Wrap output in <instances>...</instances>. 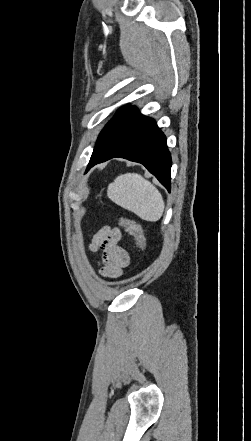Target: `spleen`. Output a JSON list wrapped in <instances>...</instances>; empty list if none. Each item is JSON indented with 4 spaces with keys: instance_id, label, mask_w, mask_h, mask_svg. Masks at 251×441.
<instances>
[{
    "instance_id": "1",
    "label": "spleen",
    "mask_w": 251,
    "mask_h": 441,
    "mask_svg": "<svg viewBox=\"0 0 251 441\" xmlns=\"http://www.w3.org/2000/svg\"><path fill=\"white\" fill-rule=\"evenodd\" d=\"M107 195L117 205L150 222L158 221L165 208L158 189L137 173H126L116 177L114 182L109 184Z\"/></svg>"
}]
</instances>
